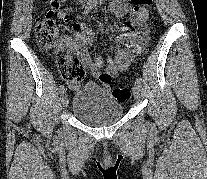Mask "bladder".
I'll return each instance as SVG.
<instances>
[{
	"label": "bladder",
	"mask_w": 207,
	"mask_h": 179,
	"mask_svg": "<svg viewBox=\"0 0 207 179\" xmlns=\"http://www.w3.org/2000/svg\"><path fill=\"white\" fill-rule=\"evenodd\" d=\"M122 102L108 89L88 82L74 94L72 112L85 124L105 126L123 116Z\"/></svg>",
	"instance_id": "31cf9c89"
}]
</instances>
